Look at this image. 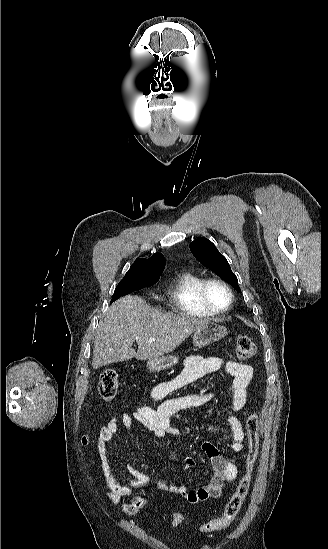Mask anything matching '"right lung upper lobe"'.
Returning a JSON list of instances; mask_svg holds the SVG:
<instances>
[{"instance_id":"1","label":"right lung upper lobe","mask_w":328,"mask_h":549,"mask_svg":"<svg viewBox=\"0 0 328 549\" xmlns=\"http://www.w3.org/2000/svg\"><path fill=\"white\" fill-rule=\"evenodd\" d=\"M146 267H153L163 270L165 267L164 256L160 253H155L149 259L137 258L128 272L136 271Z\"/></svg>"}]
</instances>
